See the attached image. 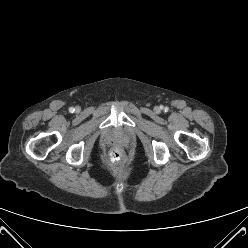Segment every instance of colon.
I'll use <instances>...</instances> for the list:
<instances>
[{
  "instance_id": "colon-1",
  "label": "colon",
  "mask_w": 248,
  "mask_h": 248,
  "mask_svg": "<svg viewBox=\"0 0 248 248\" xmlns=\"http://www.w3.org/2000/svg\"><path fill=\"white\" fill-rule=\"evenodd\" d=\"M125 156L121 149H114L110 153V163L114 166L121 165L124 162Z\"/></svg>"
}]
</instances>
